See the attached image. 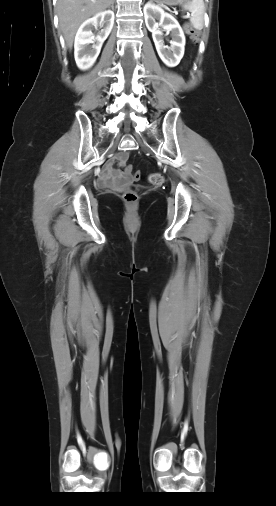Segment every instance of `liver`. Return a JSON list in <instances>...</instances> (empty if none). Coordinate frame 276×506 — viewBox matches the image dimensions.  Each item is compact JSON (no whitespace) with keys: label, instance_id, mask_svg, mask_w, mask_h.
<instances>
[{"label":"liver","instance_id":"6515ba94","mask_svg":"<svg viewBox=\"0 0 276 506\" xmlns=\"http://www.w3.org/2000/svg\"><path fill=\"white\" fill-rule=\"evenodd\" d=\"M114 0H58L59 26L71 49L78 27L89 17L107 9Z\"/></svg>","mask_w":276,"mask_h":506}]
</instances>
